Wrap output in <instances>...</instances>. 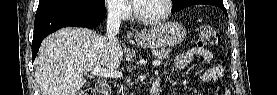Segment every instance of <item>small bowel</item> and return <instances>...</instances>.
Masks as SVG:
<instances>
[{
  "mask_svg": "<svg viewBox=\"0 0 277 95\" xmlns=\"http://www.w3.org/2000/svg\"><path fill=\"white\" fill-rule=\"evenodd\" d=\"M195 57H202L205 61L211 62L213 54L209 50H203L197 47H192L181 52L175 58V66L177 69H183L189 61ZM223 76V69L219 66L211 67L207 73L203 75V80L211 81Z\"/></svg>",
  "mask_w": 277,
  "mask_h": 95,
  "instance_id": "c3829d8e",
  "label": "small bowel"
}]
</instances>
